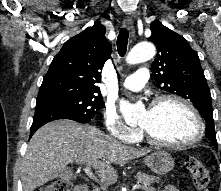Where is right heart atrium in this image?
Segmentation results:
<instances>
[{"instance_id": "right-heart-atrium-1", "label": "right heart atrium", "mask_w": 221, "mask_h": 191, "mask_svg": "<svg viewBox=\"0 0 221 191\" xmlns=\"http://www.w3.org/2000/svg\"><path fill=\"white\" fill-rule=\"evenodd\" d=\"M103 124L108 135L119 141L134 143L140 138L139 129L127 126L113 107L108 106L105 108Z\"/></svg>"}]
</instances>
